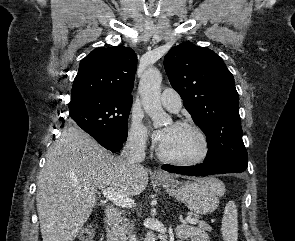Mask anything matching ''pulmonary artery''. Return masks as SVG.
Segmentation results:
<instances>
[{
	"label": "pulmonary artery",
	"instance_id": "obj_1",
	"mask_svg": "<svg viewBox=\"0 0 295 241\" xmlns=\"http://www.w3.org/2000/svg\"><path fill=\"white\" fill-rule=\"evenodd\" d=\"M160 102L171 112H178L182 107L180 95L173 89L167 88L160 95Z\"/></svg>",
	"mask_w": 295,
	"mask_h": 241
}]
</instances>
